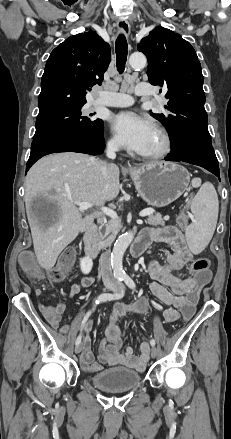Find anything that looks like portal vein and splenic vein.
<instances>
[{
  "label": "portal vein and splenic vein",
  "instance_id": "18ae733b",
  "mask_svg": "<svg viewBox=\"0 0 231 439\" xmlns=\"http://www.w3.org/2000/svg\"><path fill=\"white\" fill-rule=\"evenodd\" d=\"M77 206H79V210L84 211V210H88L90 208L93 207V205L89 202H74ZM101 212H103L105 215L109 216L110 218H112L113 220H117L118 219V215L117 213L107 207H101ZM154 213V209L152 208H147L144 209L140 212V216L141 217H145V216H150Z\"/></svg>",
  "mask_w": 231,
  "mask_h": 439
}]
</instances>
